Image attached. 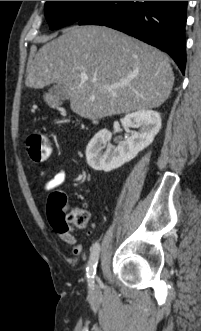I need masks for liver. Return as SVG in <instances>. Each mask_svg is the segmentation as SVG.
I'll list each match as a JSON object with an SVG mask.
<instances>
[{
    "mask_svg": "<svg viewBox=\"0 0 201 331\" xmlns=\"http://www.w3.org/2000/svg\"><path fill=\"white\" fill-rule=\"evenodd\" d=\"M81 74L88 80L81 81ZM122 81L128 84L103 87ZM52 83L68 89L74 113L101 119L161 106L171 93L174 74L168 56L148 44L111 28L76 26L44 44L27 70V87Z\"/></svg>",
    "mask_w": 201,
    "mask_h": 331,
    "instance_id": "1",
    "label": "liver"
}]
</instances>
